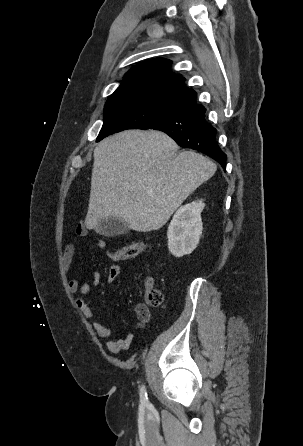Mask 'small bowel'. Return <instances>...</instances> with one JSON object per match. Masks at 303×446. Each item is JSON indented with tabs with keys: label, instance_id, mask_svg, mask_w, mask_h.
<instances>
[{
	"label": "small bowel",
	"instance_id": "1",
	"mask_svg": "<svg viewBox=\"0 0 303 446\" xmlns=\"http://www.w3.org/2000/svg\"><path fill=\"white\" fill-rule=\"evenodd\" d=\"M88 233V229L84 222H80L76 228V235L79 237H84ZM97 246L100 249H104L106 247V243L104 240H99L97 242ZM75 252V247L73 243H68L65 246L64 253H63V264L66 269V271L69 269L73 256ZM121 273V267L118 264H114L110 267L109 272L107 274V282L113 283L118 276ZM101 282V276L100 273L95 271L92 272L89 279H87L85 282L81 283L77 279H70L68 281V289L71 293H78V297L76 300V305L80 313L87 317V318H93L95 316L94 310L87 304V296L90 292L91 287L94 289H98ZM151 283H148V286H150ZM134 314L137 319V327H143L151 318V308L146 303H138L134 307ZM92 328L95 331V333L106 339L105 341V347L109 352H119L125 349H128L133 341L132 334L128 333L125 334L123 337L113 340L111 339L114 330L111 327H107L99 322H92Z\"/></svg>",
	"mask_w": 303,
	"mask_h": 446
}]
</instances>
